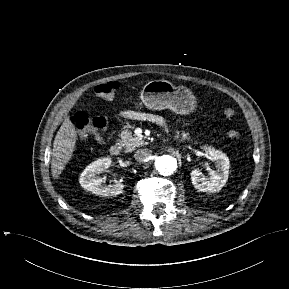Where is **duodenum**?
Masks as SVG:
<instances>
[{
  "mask_svg": "<svg viewBox=\"0 0 289 289\" xmlns=\"http://www.w3.org/2000/svg\"><path fill=\"white\" fill-rule=\"evenodd\" d=\"M109 151H110V154L112 156H119L122 152V148H121L120 144L116 143L110 147Z\"/></svg>",
  "mask_w": 289,
  "mask_h": 289,
  "instance_id": "1",
  "label": "duodenum"
}]
</instances>
